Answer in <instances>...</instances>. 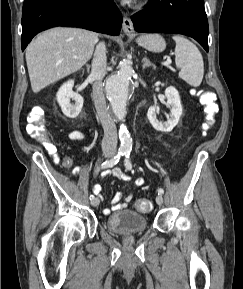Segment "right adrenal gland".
<instances>
[{
	"mask_svg": "<svg viewBox=\"0 0 243 289\" xmlns=\"http://www.w3.org/2000/svg\"><path fill=\"white\" fill-rule=\"evenodd\" d=\"M86 66H87V72H89L90 71V65L86 64Z\"/></svg>",
	"mask_w": 243,
	"mask_h": 289,
	"instance_id": "2a0ac1e0",
	"label": "right adrenal gland"
}]
</instances>
